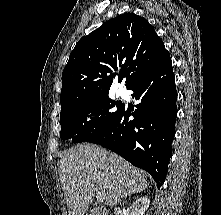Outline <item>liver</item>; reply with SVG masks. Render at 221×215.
<instances>
[{
	"label": "liver",
	"mask_w": 221,
	"mask_h": 215,
	"mask_svg": "<svg viewBox=\"0 0 221 215\" xmlns=\"http://www.w3.org/2000/svg\"><path fill=\"white\" fill-rule=\"evenodd\" d=\"M59 173L69 215H84L95 192L114 206L148 188L146 172L117 154L93 145H77L63 152Z\"/></svg>",
	"instance_id": "6515ba94"
}]
</instances>
